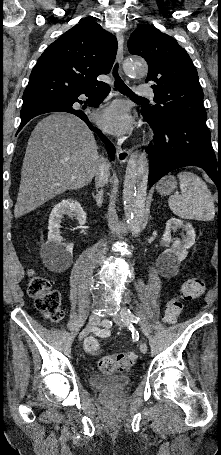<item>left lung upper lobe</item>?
Returning <instances> with one entry per match:
<instances>
[{
  "label": "left lung upper lobe",
  "mask_w": 221,
  "mask_h": 455,
  "mask_svg": "<svg viewBox=\"0 0 221 455\" xmlns=\"http://www.w3.org/2000/svg\"><path fill=\"white\" fill-rule=\"evenodd\" d=\"M131 54L143 57L149 66L146 82L152 81L155 106L141 112L157 120L185 118L206 122L203 91L187 52L177 41L150 25L138 26L128 43Z\"/></svg>",
  "instance_id": "1"
}]
</instances>
